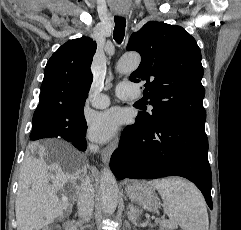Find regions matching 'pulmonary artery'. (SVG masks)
<instances>
[{"label": "pulmonary artery", "instance_id": "e3ab8cb5", "mask_svg": "<svg viewBox=\"0 0 241 230\" xmlns=\"http://www.w3.org/2000/svg\"><path fill=\"white\" fill-rule=\"evenodd\" d=\"M117 96L121 99L137 100L140 98V92L134 83L123 82L118 85L116 90ZM109 105L108 96L101 94L92 101L95 108H105Z\"/></svg>", "mask_w": 241, "mask_h": 230}]
</instances>
